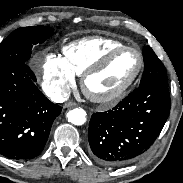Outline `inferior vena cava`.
<instances>
[{"label": "inferior vena cava", "mask_w": 183, "mask_h": 183, "mask_svg": "<svg viewBox=\"0 0 183 183\" xmlns=\"http://www.w3.org/2000/svg\"><path fill=\"white\" fill-rule=\"evenodd\" d=\"M69 95H70L69 91H66L64 93H61L60 91L48 93V97H50L51 100L56 103H62L64 101H66L68 99Z\"/></svg>", "instance_id": "602c4592"}]
</instances>
